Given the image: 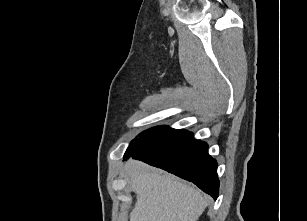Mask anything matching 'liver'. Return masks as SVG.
<instances>
[{"label":"liver","mask_w":307,"mask_h":221,"mask_svg":"<svg viewBox=\"0 0 307 221\" xmlns=\"http://www.w3.org/2000/svg\"><path fill=\"white\" fill-rule=\"evenodd\" d=\"M127 177L137 195L130 221H197L207 206L197 188L141 162L128 163Z\"/></svg>","instance_id":"obj_1"}]
</instances>
